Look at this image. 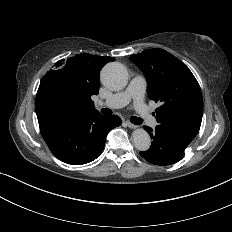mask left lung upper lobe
I'll return each mask as SVG.
<instances>
[{"mask_svg":"<svg viewBox=\"0 0 232 232\" xmlns=\"http://www.w3.org/2000/svg\"><path fill=\"white\" fill-rule=\"evenodd\" d=\"M144 73L147 93L160 102L156 128L189 144L197 135L203 115L200 86L189 68L172 54L155 48L130 56Z\"/></svg>","mask_w":232,"mask_h":232,"instance_id":"left-lung-upper-lobe-1","label":"left lung upper lobe"}]
</instances>
